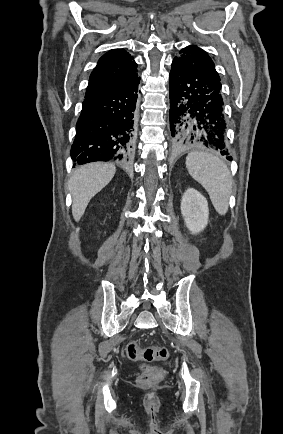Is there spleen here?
<instances>
[{
    "instance_id": "spleen-1",
    "label": "spleen",
    "mask_w": 283,
    "mask_h": 434,
    "mask_svg": "<svg viewBox=\"0 0 283 434\" xmlns=\"http://www.w3.org/2000/svg\"><path fill=\"white\" fill-rule=\"evenodd\" d=\"M189 174L208 192L220 215L228 211L232 179L228 167L217 157L204 152H190L186 157Z\"/></svg>"
}]
</instances>
